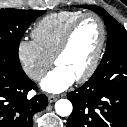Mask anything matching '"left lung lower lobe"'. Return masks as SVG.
<instances>
[{
	"mask_svg": "<svg viewBox=\"0 0 127 127\" xmlns=\"http://www.w3.org/2000/svg\"><path fill=\"white\" fill-rule=\"evenodd\" d=\"M67 97L73 104L67 127H127V54L96 69Z\"/></svg>",
	"mask_w": 127,
	"mask_h": 127,
	"instance_id": "0a47b994",
	"label": "left lung lower lobe"
}]
</instances>
